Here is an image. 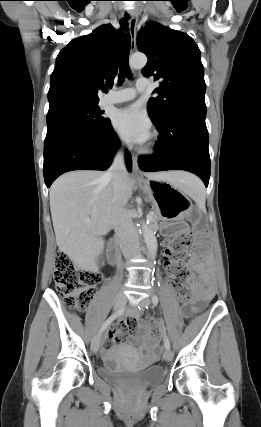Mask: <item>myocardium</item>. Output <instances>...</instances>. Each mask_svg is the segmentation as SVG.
I'll return each mask as SVG.
<instances>
[{"label":"myocardium","instance_id":"obj_1","mask_svg":"<svg viewBox=\"0 0 261 427\" xmlns=\"http://www.w3.org/2000/svg\"><path fill=\"white\" fill-rule=\"evenodd\" d=\"M157 147H158V135L155 133L152 135L149 143L142 149V152L151 154L156 151Z\"/></svg>","mask_w":261,"mask_h":427}]
</instances>
